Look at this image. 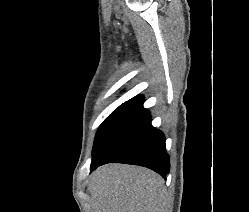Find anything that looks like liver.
<instances>
[{
  "mask_svg": "<svg viewBox=\"0 0 249 212\" xmlns=\"http://www.w3.org/2000/svg\"><path fill=\"white\" fill-rule=\"evenodd\" d=\"M161 176L139 166L105 164L90 176L88 212H165Z\"/></svg>",
  "mask_w": 249,
  "mask_h": 212,
  "instance_id": "liver-1",
  "label": "liver"
}]
</instances>
